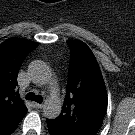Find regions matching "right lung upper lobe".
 Returning a JSON list of instances; mask_svg holds the SVG:
<instances>
[{
	"label": "right lung upper lobe",
	"mask_w": 135,
	"mask_h": 135,
	"mask_svg": "<svg viewBox=\"0 0 135 135\" xmlns=\"http://www.w3.org/2000/svg\"><path fill=\"white\" fill-rule=\"evenodd\" d=\"M37 43L9 38L0 45V135H10L27 112L16 92L19 68Z\"/></svg>",
	"instance_id": "cb5924a9"
}]
</instances>
